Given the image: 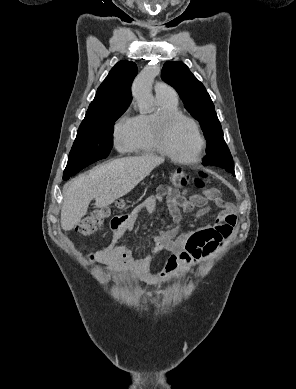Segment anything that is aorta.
Masks as SVG:
<instances>
[{
	"mask_svg": "<svg viewBox=\"0 0 296 389\" xmlns=\"http://www.w3.org/2000/svg\"><path fill=\"white\" fill-rule=\"evenodd\" d=\"M159 69L155 65L145 67L134 80L132 94L139 104H150L151 87Z\"/></svg>",
	"mask_w": 296,
	"mask_h": 389,
	"instance_id": "762f6f07",
	"label": "aorta"
}]
</instances>
